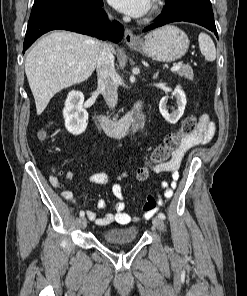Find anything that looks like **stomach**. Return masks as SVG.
Listing matches in <instances>:
<instances>
[{"mask_svg": "<svg viewBox=\"0 0 247 296\" xmlns=\"http://www.w3.org/2000/svg\"><path fill=\"white\" fill-rule=\"evenodd\" d=\"M130 47L153 59L172 62L186 54L189 39L179 28L167 25L150 32Z\"/></svg>", "mask_w": 247, "mask_h": 296, "instance_id": "1", "label": "stomach"}]
</instances>
